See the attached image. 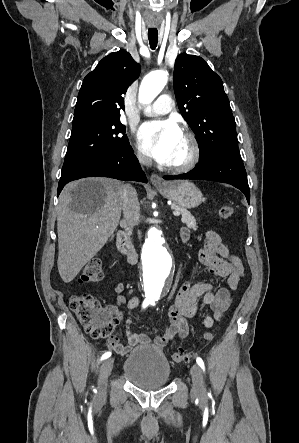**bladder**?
Returning <instances> with one entry per match:
<instances>
[{
  "label": "bladder",
  "mask_w": 299,
  "mask_h": 443,
  "mask_svg": "<svg viewBox=\"0 0 299 443\" xmlns=\"http://www.w3.org/2000/svg\"><path fill=\"white\" fill-rule=\"evenodd\" d=\"M123 373L135 386L155 390L168 383L171 366L162 349L144 346L135 348L127 355Z\"/></svg>",
  "instance_id": "bladder-1"
}]
</instances>
